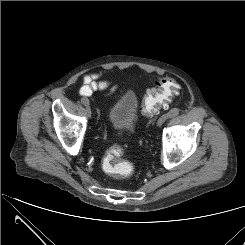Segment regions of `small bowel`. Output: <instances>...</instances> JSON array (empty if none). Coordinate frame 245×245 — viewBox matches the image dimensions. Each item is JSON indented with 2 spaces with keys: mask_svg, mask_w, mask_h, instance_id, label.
<instances>
[{
  "mask_svg": "<svg viewBox=\"0 0 245 245\" xmlns=\"http://www.w3.org/2000/svg\"><path fill=\"white\" fill-rule=\"evenodd\" d=\"M98 91H107L109 96L114 97L119 92V89L111 87L107 81L101 79V74L99 73H91L84 76L79 90L80 95L89 97Z\"/></svg>",
  "mask_w": 245,
  "mask_h": 245,
  "instance_id": "small-bowel-1",
  "label": "small bowel"
}]
</instances>
